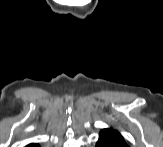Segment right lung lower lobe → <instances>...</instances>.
<instances>
[{
  "label": "right lung lower lobe",
  "instance_id": "98d812e1",
  "mask_svg": "<svg viewBox=\"0 0 163 147\" xmlns=\"http://www.w3.org/2000/svg\"><path fill=\"white\" fill-rule=\"evenodd\" d=\"M29 147H38L36 144H30Z\"/></svg>",
  "mask_w": 163,
  "mask_h": 147
}]
</instances>
